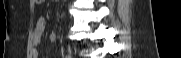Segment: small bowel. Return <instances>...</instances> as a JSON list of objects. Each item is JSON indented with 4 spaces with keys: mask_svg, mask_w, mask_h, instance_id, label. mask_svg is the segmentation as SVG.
Here are the masks:
<instances>
[{
    "mask_svg": "<svg viewBox=\"0 0 181 58\" xmlns=\"http://www.w3.org/2000/svg\"><path fill=\"white\" fill-rule=\"evenodd\" d=\"M45 27H46V21L43 17H39L38 19H36L35 30H34V40H33V46H34L33 56H34V58H39L38 50L41 45V40H42L44 31H45ZM49 38H50L51 42H54L57 40V34L53 32L50 34Z\"/></svg>",
    "mask_w": 181,
    "mask_h": 58,
    "instance_id": "small-bowel-1",
    "label": "small bowel"
}]
</instances>
